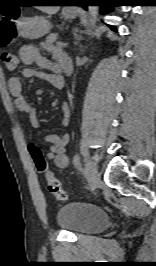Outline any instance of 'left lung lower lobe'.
I'll list each match as a JSON object with an SVG mask.
<instances>
[{"label": "left lung lower lobe", "instance_id": "0a47b994", "mask_svg": "<svg viewBox=\"0 0 156 266\" xmlns=\"http://www.w3.org/2000/svg\"><path fill=\"white\" fill-rule=\"evenodd\" d=\"M61 3H63L61 1ZM115 0H79L78 1V6H83L85 9L89 5H97V6H102L103 7V13L109 12L112 8V6H115ZM110 28L114 31H116V28L113 26H110Z\"/></svg>", "mask_w": 156, "mask_h": 266}]
</instances>
